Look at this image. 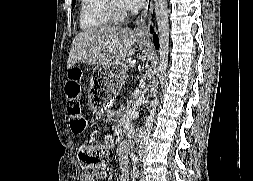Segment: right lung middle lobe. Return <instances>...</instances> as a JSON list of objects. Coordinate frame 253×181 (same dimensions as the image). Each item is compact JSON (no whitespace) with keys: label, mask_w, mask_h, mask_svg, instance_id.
<instances>
[{"label":"right lung middle lobe","mask_w":253,"mask_h":181,"mask_svg":"<svg viewBox=\"0 0 253 181\" xmlns=\"http://www.w3.org/2000/svg\"><path fill=\"white\" fill-rule=\"evenodd\" d=\"M72 2H73V6H74L75 0H72Z\"/></svg>","instance_id":"obj_1"}]
</instances>
